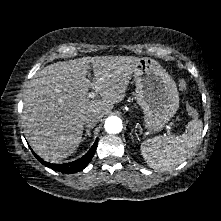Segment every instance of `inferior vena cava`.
Returning a JSON list of instances; mask_svg holds the SVG:
<instances>
[{
  "label": "inferior vena cava",
  "mask_w": 221,
  "mask_h": 221,
  "mask_svg": "<svg viewBox=\"0 0 221 221\" xmlns=\"http://www.w3.org/2000/svg\"><path fill=\"white\" fill-rule=\"evenodd\" d=\"M98 121L99 117L95 114H88L83 117V123L88 128H93Z\"/></svg>",
  "instance_id": "602c4592"
}]
</instances>
